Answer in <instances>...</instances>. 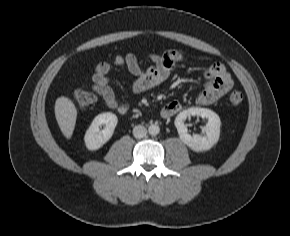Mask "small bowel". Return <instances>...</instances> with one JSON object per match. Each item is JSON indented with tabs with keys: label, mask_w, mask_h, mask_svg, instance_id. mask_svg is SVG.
Returning <instances> with one entry per match:
<instances>
[{
	"label": "small bowel",
	"mask_w": 290,
	"mask_h": 236,
	"mask_svg": "<svg viewBox=\"0 0 290 236\" xmlns=\"http://www.w3.org/2000/svg\"><path fill=\"white\" fill-rule=\"evenodd\" d=\"M150 65L143 68L138 58L128 53L117 54L113 57L112 64L108 62L99 63L92 77V90L98 94L105 104L125 115L130 106L126 102H120L109 84V76L114 68H126L136 77L132 89L136 94L147 92L171 76L177 63L184 61V55L175 50H169L163 54L152 53L148 56ZM233 86V80L226 67L222 63H213L204 72V87L195 97L197 106H205L215 103ZM182 109L178 101L167 103L160 111L162 119L174 117Z\"/></svg>",
	"instance_id": "small-bowel-1"
}]
</instances>
